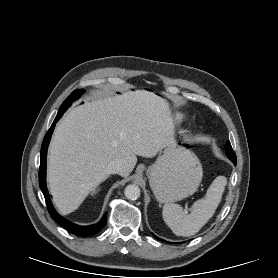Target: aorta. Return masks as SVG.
<instances>
[{"label": "aorta", "mask_w": 278, "mask_h": 278, "mask_svg": "<svg viewBox=\"0 0 278 278\" xmlns=\"http://www.w3.org/2000/svg\"><path fill=\"white\" fill-rule=\"evenodd\" d=\"M124 194L127 199L136 200L140 196V188L135 184L128 185L124 190Z\"/></svg>", "instance_id": "aorta-1"}]
</instances>
